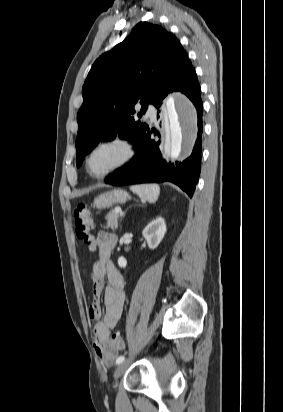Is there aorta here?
I'll list each match as a JSON object with an SVG mask.
<instances>
[{
  "instance_id": "762f6f07",
  "label": "aorta",
  "mask_w": 283,
  "mask_h": 412,
  "mask_svg": "<svg viewBox=\"0 0 283 412\" xmlns=\"http://www.w3.org/2000/svg\"><path fill=\"white\" fill-rule=\"evenodd\" d=\"M166 105L169 118L168 148L171 158L176 159L181 154L185 142L195 136L196 110L184 96L169 98Z\"/></svg>"
}]
</instances>
